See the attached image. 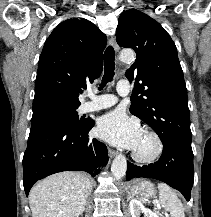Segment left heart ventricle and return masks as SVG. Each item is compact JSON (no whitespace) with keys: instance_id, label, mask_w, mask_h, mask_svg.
Returning <instances> with one entry per match:
<instances>
[{"instance_id":"obj_1","label":"left heart ventricle","mask_w":211,"mask_h":217,"mask_svg":"<svg viewBox=\"0 0 211 217\" xmlns=\"http://www.w3.org/2000/svg\"><path fill=\"white\" fill-rule=\"evenodd\" d=\"M154 148V141L150 137L143 134L135 151L141 155H148L153 152Z\"/></svg>"}]
</instances>
